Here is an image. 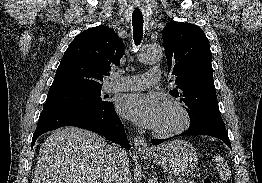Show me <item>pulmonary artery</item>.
Masks as SVG:
<instances>
[{
	"mask_svg": "<svg viewBox=\"0 0 262 183\" xmlns=\"http://www.w3.org/2000/svg\"><path fill=\"white\" fill-rule=\"evenodd\" d=\"M113 79L114 81L107 86L108 92L139 90L157 84L160 80V70L153 68L145 74L133 76L115 74Z\"/></svg>",
	"mask_w": 262,
	"mask_h": 183,
	"instance_id": "e3ab8cb5",
	"label": "pulmonary artery"
}]
</instances>
